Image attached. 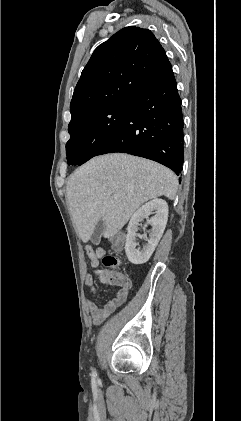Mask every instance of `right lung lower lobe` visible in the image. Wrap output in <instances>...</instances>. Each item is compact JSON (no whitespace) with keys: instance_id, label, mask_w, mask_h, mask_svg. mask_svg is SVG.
I'll list each match as a JSON object with an SVG mask.
<instances>
[{"instance_id":"right-lung-lower-lobe-1","label":"right lung lower lobe","mask_w":241,"mask_h":421,"mask_svg":"<svg viewBox=\"0 0 241 421\" xmlns=\"http://www.w3.org/2000/svg\"><path fill=\"white\" fill-rule=\"evenodd\" d=\"M182 101L172 66L159 72L128 100L124 121L96 153H128L159 162L177 175L183 163Z\"/></svg>"}]
</instances>
